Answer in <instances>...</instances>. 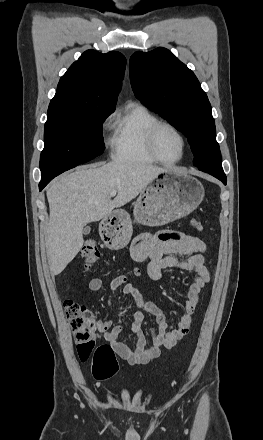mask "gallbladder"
<instances>
[{
  "mask_svg": "<svg viewBox=\"0 0 263 440\" xmlns=\"http://www.w3.org/2000/svg\"><path fill=\"white\" fill-rule=\"evenodd\" d=\"M90 231H91V228H90V226H85V227L83 228V234H84V235H87V234H89V233H90Z\"/></svg>",
  "mask_w": 263,
  "mask_h": 440,
  "instance_id": "obj_1",
  "label": "gallbladder"
}]
</instances>
